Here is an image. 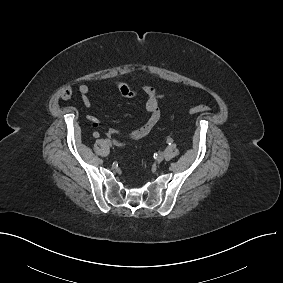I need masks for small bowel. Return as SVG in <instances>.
<instances>
[{"mask_svg":"<svg viewBox=\"0 0 283 283\" xmlns=\"http://www.w3.org/2000/svg\"><path fill=\"white\" fill-rule=\"evenodd\" d=\"M115 85L124 97L135 98L137 96L136 91L131 89L125 82L121 80H115ZM143 91L145 93V109L148 113V118L144 124L126 135H122L118 130L110 128L107 135L114 138V143L117 146H127L139 139L146 137L151 133L161 118L159 101L162 98V95L157 93L155 88L148 84L143 86ZM79 92L81 94L82 103L84 106L89 107L91 105L90 87L87 84L82 83L79 85ZM92 125L93 127H98L100 122L97 119H92Z\"/></svg>","mask_w":283,"mask_h":283,"instance_id":"c3829d8e","label":"small bowel"}]
</instances>
